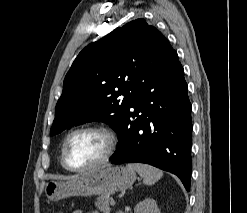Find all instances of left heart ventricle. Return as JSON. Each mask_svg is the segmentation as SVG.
Wrapping results in <instances>:
<instances>
[{
    "label": "left heart ventricle",
    "instance_id": "b2bd125f",
    "mask_svg": "<svg viewBox=\"0 0 247 213\" xmlns=\"http://www.w3.org/2000/svg\"><path fill=\"white\" fill-rule=\"evenodd\" d=\"M106 147L107 141L102 134L81 132L70 138L66 159L72 167L89 166L103 157Z\"/></svg>",
    "mask_w": 247,
    "mask_h": 213
}]
</instances>
